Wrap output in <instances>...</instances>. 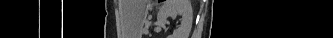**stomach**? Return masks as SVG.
<instances>
[{
    "instance_id": "obj_1",
    "label": "stomach",
    "mask_w": 333,
    "mask_h": 38,
    "mask_svg": "<svg viewBox=\"0 0 333 38\" xmlns=\"http://www.w3.org/2000/svg\"><path fill=\"white\" fill-rule=\"evenodd\" d=\"M142 20H144V18H145V11L143 12V14H142Z\"/></svg>"
}]
</instances>
